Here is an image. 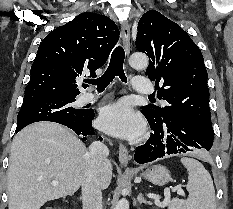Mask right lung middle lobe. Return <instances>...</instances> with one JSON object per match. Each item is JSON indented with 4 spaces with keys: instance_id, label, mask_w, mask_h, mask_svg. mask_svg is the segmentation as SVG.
<instances>
[{
    "instance_id": "right-lung-middle-lobe-1",
    "label": "right lung middle lobe",
    "mask_w": 233,
    "mask_h": 209,
    "mask_svg": "<svg viewBox=\"0 0 233 209\" xmlns=\"http://www.w3.org/2000/svg\"><path fill=\"white\" fill-rule=\"evenodd\" d=\"M75 98H51L23 103L17 117V126H26L38 121L60 124L81 119L85 110L71 106Z\"/></svg>"
}]
</instances>
